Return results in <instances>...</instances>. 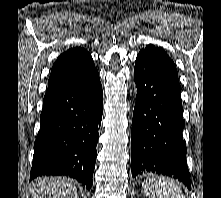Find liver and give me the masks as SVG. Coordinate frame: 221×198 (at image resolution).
<instances>
[{"mask_svg": "<svg viewBox=\"0 0 221 198\" xmlns=\"http://www.w3.org/2000/svg\"><path fill=\"white\" fill-rule=\"evenodd\" d=\"M31 198H78L76 183L68 177H42L35 180Z\"/></svg>", "mask_w": 221, "mask_h": 198, "instance_id": "6515ba94", "label": "liver"}]
</instances>
